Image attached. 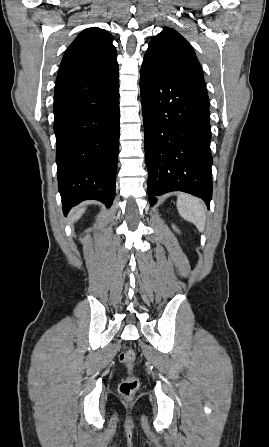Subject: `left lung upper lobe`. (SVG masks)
<instances>
[{
    "label": "left lung upper lobe",
    "mask_w": 269,
    "mask_h": 447,
    "mask_svg": "<svg viewBox=\"0 0 269 447\" xmlns=\"http://www.w3.org/2000/svg\"><path fill=\"white\" fill-rule=\"evenodd\" d=\"M144 57L200 79L204 82L203 73L199 61L190 44L177 31L172 28H164L149 43Z\"/></svg>",
    "instance_id": "5c2ea615"
}]
</instances>
